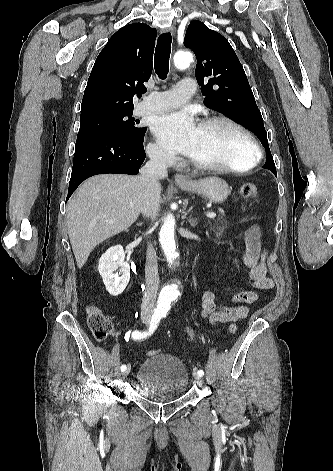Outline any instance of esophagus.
Returning <instances> with one entry per match:
<instances>
[{
  "label": "esophagus",
  "instance_id": "34e87169",
  "mask_svg": "<svg viewBox=\"0 0 333 471\" xmlns=\"http://www.w3.org/2000/svg\"><path fill=\"white\" fill-rule=\"evenodd\" d=\"M167 31L170 32L173 36L175 35V32H176L174 26H170L169 28H167ZM174 180L179 183H186L189 181L188 178L183 174H176L174 176Z\"/></svg>",
  "mask_w": 333,
  "mask_h": 471
}]
</instances>
